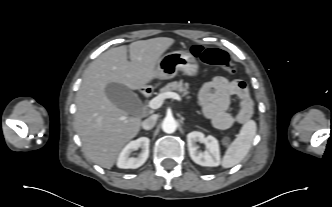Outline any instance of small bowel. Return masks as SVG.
<instances>
[{"label":"small bowel","mask_w":332,"mask_h":207,"mask_svg":"<svg viewBox=\"0 0 332 207\" xmlns=\"http://www.w3.org/2000/svg\"><path fill=\"white\" fill-rule=\"evenodd\" d=\"M237 97L233 113L228 112L230 99ZM198 105L203 115L219 130L230 128L234 123L248 121L254 112L247 84L241 80H228L217 76L204 85L198 94Z\"/></svg>","instance_id":"small-bowel-1"}]
</instances>
